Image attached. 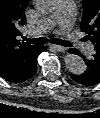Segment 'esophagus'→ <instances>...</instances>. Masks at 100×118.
I'll use <instances>...</instances> for the list:
<instances>
[{
  "label": "esophagus",
  "mask_w": 100,
  "mask_h": 118,
  "mask_svg": "<svg viewBox=\"0 0 100 118\" xmlns=\"http://www.w3.org/2000/svg\"><path fill=\"white\" fill-rule=\"evenodd\" d=\"M50 47L58 52H64L66 50V47L54 45V44H51Z\"/></svg>",
  "instance_id": "1"
}]
</instances>
